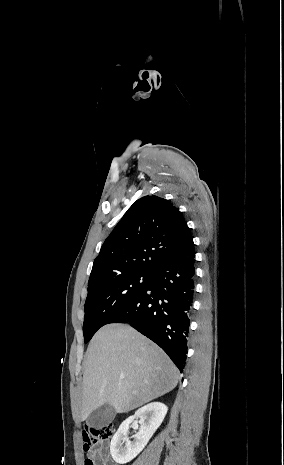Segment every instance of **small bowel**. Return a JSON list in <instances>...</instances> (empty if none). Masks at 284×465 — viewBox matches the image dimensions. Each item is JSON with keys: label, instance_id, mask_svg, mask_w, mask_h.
Here are the masks:
<instances>
[{"label": "small bowel", "instance_id": "1", "mask_svg": "<svg viewBox=\"0 0 284 465\" xmlns=\"http://www.w3.org/2000/svg\"><path fill=\"white\" fill-rule=\"evenodd\" d=\"M96 459L98 461V465H108L109 461V455H108V448L104 446L103 444L100 445L97 453H96Z\"/></svg>", "mask_w": 284, "mask_h": 465}]
</instances>
